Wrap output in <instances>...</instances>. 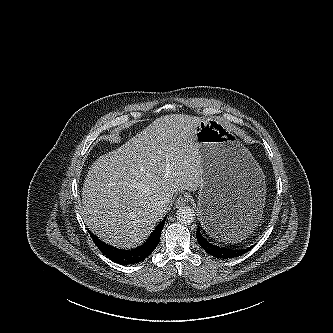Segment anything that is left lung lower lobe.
<instances>
[{
  "mask_svg": "<svg viewBox=\"0 0 333 333\" xmlns=\"http://www.w3.org/2000/svg\"><path fill=\"white\" fill-rule=\"evenodd\" d=\"M211 215L212 218L208 221V228L205 230L220 241H223L222 237L224 238V234L229 232L231 228L240 227V224L236 222L233 218L225 216L215 208H212ZM196 237L198 243L208 254L220 259H228L241 256L252 248L249 247L246 249H236L231 246H218L209 241L207 238L203 237L200 229H198Z\"/></svg>",
  "mask_w": 333,
  "mask_h": 333,
  "instance_id": "left-lung-lower-lobe-1",
  "label": "left lung lower lobe"
}]
</instances>
